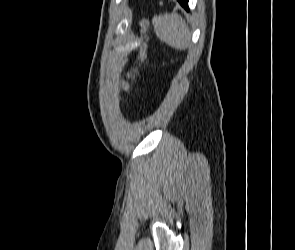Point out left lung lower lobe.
Returning a JSON list of instances; mask_svg holds the SVG:
<instances>
[{
    "instance_id": "obj_1",
    "label": "left lung lower lobe",
    "mask_w": 295,
    "mask_h": 250,
    "mask_svg": "<svg viewBox=\"0 0 295 250\" xmlns=\"http://www.w3.org/2000/svg\"><path fill=\"white\" fill-rule=\"evenodd\" d=\"M178 2L186 9L189 10L188 8V0H178Z\"/></svg>"
}]
</instances>
